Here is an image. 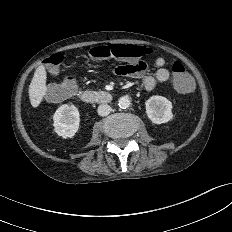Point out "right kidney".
Segmentation results:
<instances>
[{
  "mask_svg": "<svg viewBox=\"0 0 232 232\" xmlns=\"http://www.w3.org/2000/svg\"><path fill=\"white\" fill-rule=\"evenodd\" d=\"M54 131L63 138H72L79 129L80 115L74 105L60 106L53 116Z\"/></svg>",
  "mask_w": 232,
  "mask_h": 232,
  "instance_id": "1",
  "label": "right kidney"
}]
</instances>
